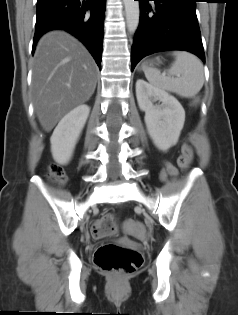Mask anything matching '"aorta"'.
<instances>
[{
  "label": "aorta",
  "mask_w": 238,
  "mask_h": 315,
  "mask_svg": "<svg viewBox=\"0 0 238 315\" xmlns=\"http://www.w3.org/2000/svg\"><path fill=\"white\" fill-rule=\"evenodd\" d=\"M126 15V24L130 33H135L139 25L140 9L139 2L123 0Z\"/></svg>",
  "instance_id": "aorta-1"
}]
</instances>
